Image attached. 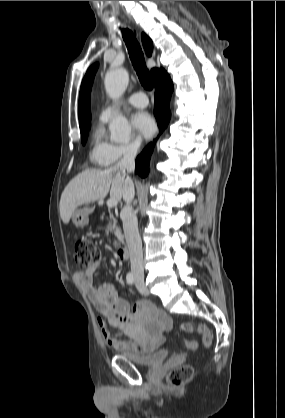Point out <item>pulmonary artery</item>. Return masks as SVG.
<instances>
[{
  "label": "pulmonary artery",
  "instance_id": "pulmonary-artery-1",
  "mask_svg": "<svg viewBox=\"0 0 285 418\" xmlns=\"http://www.w3.org/2000/svg\"><path fill=\"white\" fill-rule=\"evenodd\" d=\"M121 101H116L112 104L105 106L100 113V119L102 121L108 120L121 105ZM127 103L135 107H145L148 105V98L143 93H135L128 97Z\"/></svg>",
  "mask_w": 285,
  "mask_h": 418
}]
</instances>
